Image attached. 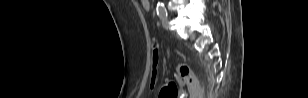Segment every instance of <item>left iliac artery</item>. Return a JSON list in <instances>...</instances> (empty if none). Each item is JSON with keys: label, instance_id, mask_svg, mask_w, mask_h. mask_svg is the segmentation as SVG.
<instances>
[{"label": "left iliac artery", "instance_id": "obj_1", "mask_svg": "<svg viewBox=\"0 0 308 98\" xmlns=\"http://www.w3.org/2000/svg\"><path fill=\"white\" fill-rule=\"evenodd\" d=\"M156 10H157V15L161 18V19H166L167 18V10H166V8H165V6H164V4L163 3H158L157 4V8H156Z\"/></svg>", "mask_w": 308, "mask_h": 98}]
</instances>
